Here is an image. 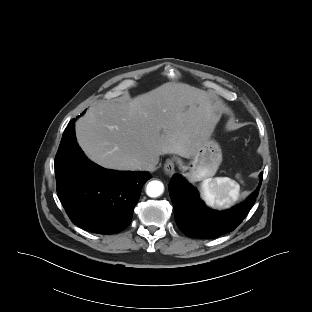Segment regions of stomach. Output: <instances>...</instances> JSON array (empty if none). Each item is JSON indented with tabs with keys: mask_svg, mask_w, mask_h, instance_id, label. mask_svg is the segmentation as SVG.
<instances>
[{
	"mask_svg": "<svg viewBox=\"0 0 312 312\" xmlns=\"http://www.w3.org/2000/svg\"><path fill=\"white\" fill-rule=\"evenodd\" d=\"M222 162L219 144L208 139L193 155L191 161L183 167L186 176L192 182L209 179L215 175Z\"/></svg>",
	"mask_w": 312,
	"mask_h": 312,
	"instance_id": "stomach-1",
	"label": "stomach"
}]
</instances>
